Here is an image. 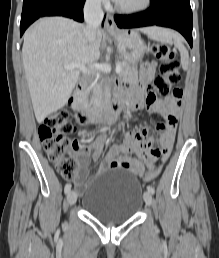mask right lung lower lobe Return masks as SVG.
I'll return each mask as SVG.
<instances>
[{
  "label": "right lung lower lobe",
  "instance_id": "obj_1",
  "mask_svg": "<svg viewBox=\"0 0 219 258\" xmlns=\"http://www.w3.org/2000/svg\"><path fill=\"white\" fill-rule=\"evenodd\" d=\"M85 0H26L20 23V36L27 27L43 16H64L82 22Z\"/></svg>",
  "mask_w": 219,
  "mask_h": 258
}]
</instances>
